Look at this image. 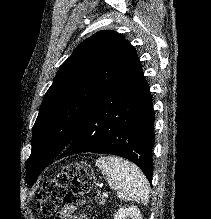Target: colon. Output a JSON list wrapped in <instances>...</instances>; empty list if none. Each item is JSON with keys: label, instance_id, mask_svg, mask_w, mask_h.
<instances>
[{"label": "colon", "instance_id": "1", "mask_svg": "<svg viewBox=\"0 0 211 219\" xmlns=\"http://www.w3.org/2000/svg\"><path fill=\"white\" fill-rule=\"evenodd\" d=\"M71 184V189L67 185ZM94 184L93 176L80 164L65 165L53 179L48 180L38 193L36 204L41 215L53 216L63 204L80 207L90 201L88 195Z\"/></svg>", "mask_w": 211, "mask_h": 219}]
</instances>
